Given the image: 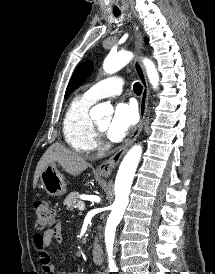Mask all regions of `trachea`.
<instances>
[{"label":"trachea","instance_id":"trachea-1","mask_svg":"<svg viewBox=\"0 0 215 274\" xmlns=\"http://www.w3.org/2000/svg\"><path fill=\"white\" fill-rule=\"evenodd\" d=\"M114 15H115V17H118L120 14L119 13H115ZM142 89H143L142 85L140 83H138V82H136L134 84V86H133V90H134L135 94H137V95L141 94Z\"/></svg>","mask_w":215,"mask_h":274}]
</instances>
